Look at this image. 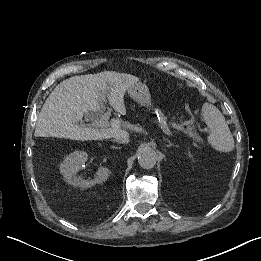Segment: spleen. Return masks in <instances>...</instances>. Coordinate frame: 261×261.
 <instances>
[{"label": "spleen", "instance_id": "1", "mask_svg": "<svg viewBox=\"0 0 261 261\" xmlns=\"http://www.w3.org/2000/svg\"><path fill=\"white\" fill-rule=\"evenodd\" d=\"M203 116L210 128L208 142L212 148L220 152H230L234 149V138L223 114L213 106L203 108Z\"/></svg>", "mask_w": 261, "mask_h": 261}]
</instances>
